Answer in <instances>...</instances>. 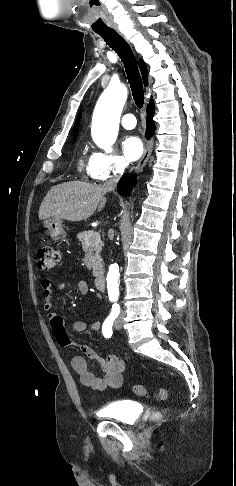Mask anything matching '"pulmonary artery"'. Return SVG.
I'll return each mask as SVG.
<instances>
[{"label":"pulmonary artery","instance_id":"e3ab8cb5","mask_svg":"<svg viewBox=\"0 0 236 486\" xmlns=\"http://www.w3.org/2000/svg\"><path fill=\"white\" fill-rule=\"evenodd\" d=\"M121 124L125 129H133L136 126V119L133 114H125L121 118Z\"/></svg>","mask_w":236,"mask_h":486}]
</instances>
